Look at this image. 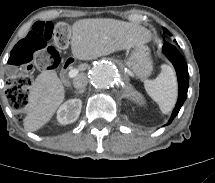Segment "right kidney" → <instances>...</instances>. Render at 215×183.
Listing matches in <instances>:
<instances>
[{
    "mask_svg": "<svg viewBox=\"0 0 215 183\" xmlns=\"http://www.w3.org/2000/svg\"><path fill=\"white\" fill-rule=\"evenodd\" d=\"M82 101L80 99H70L62 104L57 111V120L61 124L75 122L81 112Z\"/></svg>",
    "mask_w": 215,
    "mask_h": 183,
    "instance_id": "1",
    "label": "right kidney"
}]
</instances>
